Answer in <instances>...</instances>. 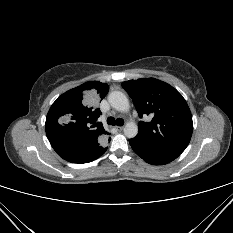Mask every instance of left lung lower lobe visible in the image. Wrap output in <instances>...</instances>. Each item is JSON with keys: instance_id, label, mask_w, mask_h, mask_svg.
<instances>
[{"instance_id": "1", "label": "left lung lower lobe", "mask_w": 233, "mask_h": 233, "mask_svg": "<svg viewBox=\"0 0 233 233\" xmlns=\"http://www.w3.org/2000/svg\"><path fill=\"white\" fill-rule=\"evenodd\" d=\"M129 143L138 156L152 165H164L170 163L180 155L152 148L135 138L130 139Z\"/></svg>"}]
</instances>
